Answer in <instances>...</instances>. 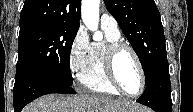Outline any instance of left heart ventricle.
Instances as JSON below:
<instances>
[{
    "mask_svg": "<svg viewBox=\"0 0 193 112\" xmlns=\"http://www.w3.org/2000/svg\"><path fill=\"white\" fill-rule=\"evenodd\" d=\"M117 78L122 87L130 94H136L141 85L137 64L128 51L121 52L115 63Z\"/></svg>",
    "mask_w": 193,
    "mask_h": 112,
    "instance_id": "1",
    "label": "left heart ventricle"
}]
</instances>
